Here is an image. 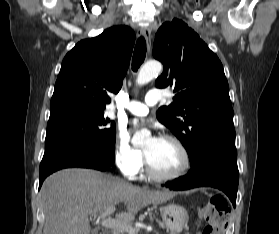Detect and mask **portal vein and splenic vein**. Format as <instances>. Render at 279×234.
Returning a JSON list of instances; mask_svg holds the SVG:
<instances>
[{
  "label": "portal vein and splenic vein",
  "mask_w": 279,
  "mask_h": 234,
  "mask_svg": "<svg viewBox=\"0 0 279 234\" xmlns=\"http://www.w3.org/2000/svg\"><path fill=\"white\" fill-rule=\"evenodd\" d=\"M114 211H115V207H110L109 209H107V211L100 214L101 225L103 227L119 229L122 231H126L128 233L134 232L135 229L127 222L106 217L107 215L113 213Z\"/></svg>",
  "instance_id": "1"
}]
</instances>
